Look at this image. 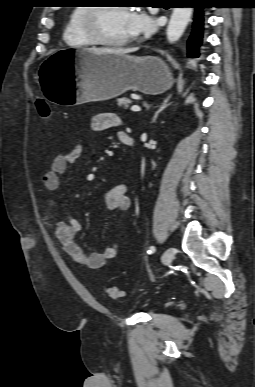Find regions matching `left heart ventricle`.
Wrapping results in <instances>:
<instances>
[{
  "label": "left heart ventricle",
  "instance_id": "obj_1",
  "mask_svg": "<svg viewBox=\"0 0 255 387\" xmlns=\"http://www.w3.org/2000/svg\"><path fill=\"white\" fill-rule=\"evenodd\" d=\"M130 12L121 8H107L98 15V28L107 39L121 40L131 37Z\"/></svg>",
  "mask_w": 255,
  "mask_h": 387
}]
</instances>
